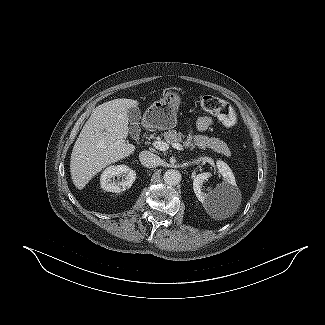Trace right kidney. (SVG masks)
<instances>
[{
    "mask_svg": "<svg viewBox=\"0 0 325 325\" xmlns=\"http://www.w3.org/2000/svg\"><path fill=\"white\" fill-rule=\"evenodd\" d=\"M117 177V179H115ZM120 178L122 180L120 181ZM136 179L134 170L126 165L107 167L100 177L101 188L107 192L120 193L130 188Z\"/></svg>",
    "mask_w": 325,
    "mask_h": 325,
    "instance_id": "ca27d5eb",
    "label": "right kidney"
}]
</instances>
